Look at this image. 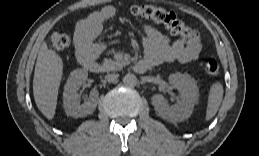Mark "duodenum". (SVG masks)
Listing matches in <instances>:
<instances>
[{"label": "duodenum", "instance_id": "1", "mask_svg": "<svg viewBox=\"0 0 259 156\" xmlns=\"http://www.w3.org/2000/svg\"><path fill=\"white\" fill-rule=\"evenodd\" d=\"M81 62L85 69L90 72L98 73L101 71V65L95 60V58L89 54H85L80 57ZM149 68V65L144 61H139L134 69L137 73H144Z\"/></svg>", "mask_w": 259, "mask_h": 156}]
</instances>
